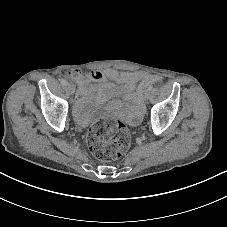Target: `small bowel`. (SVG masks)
I'll use <instances>...</instances> for the list:
<instances>
[{"mask_svg":"<svg viewBox=\"0 0 227 227\" xmlns=\"http://www.w3.org/2000/svg\"><path fill=\"white\" fill-rule=\"evenodd\" d=\"M71 77L77 82L79 87L75 114L78 121L82 124H85L88 120L85 108L88 101L95 93V89L88 86L89 82L102 81L110 78L125 82L130 86H134L137 82L141 81L139 90L142 91L150 83L158 80V78L155 76L145 75L138 72H121L114 69L94 70L87 72L75 70L71 73Z\"/></svg>","mask_w":227,"mask_h":227,"instance_id":"c3829d8e","label":"small bowel"}]
</instances>
